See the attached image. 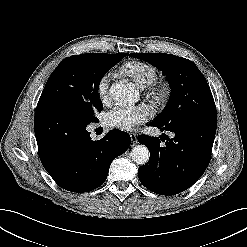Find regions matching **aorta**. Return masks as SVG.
Wrapping results in <instances>:
<instances>
[{"label": "aorta", "instance_id": "1", "mask_svg": "<svg viewBox=\"0 0 247 247\" xmlns=\"http://www.w3.org/2000/svg\"><path fill=\"white\" fill-rule=\"evenodd\" d=\"M109 92L113 100L119 103H134L139 99V93L122 82L112 84ZM130 156L136 164L143 165L148 162L150 152L146 146L136 145L132 148Z\"/></svg>", "mask_w": 247, "mask_h": 247}]
</instances>
